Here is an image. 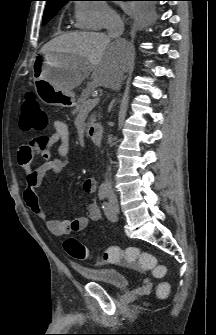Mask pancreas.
Returning <instances> with one entry per match:
<instances>
[{
    "label": "pancreas",
    "mask_w": 216,
    "mask_h": 335,
    "mask_svg": "<svg viewBox=\"0 0 216 335\" xmlns=\"http://www.w3.org/2000/svg\"><path fill=\"white\" fill-rule=\"evenodd\" d=\"M91 87H88L87 90H85L80 98L78 99L77 101V104H76V108L74 110V113H77V112H80L82 110H86V111H90V108H89V103H90V100H89V96H90V93H91ZM96 121V116L95 115H92L90 117V120L89 122L86 124V126H89L91 124H93L94 122Z\"/></svg>",
    "instance_id": "cf45deb5"
}]
</instances>
